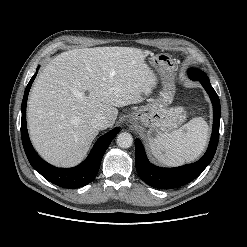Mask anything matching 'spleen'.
Here are the masks:
<instances>
[{
	"mask_svg": "<svg viewBox=\"0 0 247 247\" xmlns=\"http://www.w3.org/2000/svg\"><path fill=\"white\" fill-rule=\"evenodd\" d=\"M208 130L205 119L196 117L178 130L156 133L149 139V146L159 162L168 166H179L200 156L208 140Z\"/></svg>",
	"mask_w": 247,
	"mask_h": 247,
	"instance_id": "obj_1",
	"label": "spleen"
}]
</instances>
